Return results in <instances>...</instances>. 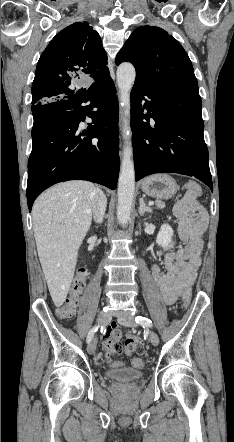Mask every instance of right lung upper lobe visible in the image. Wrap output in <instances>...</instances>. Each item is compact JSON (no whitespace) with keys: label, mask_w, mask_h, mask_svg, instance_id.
<instances>
[{"label":"right lung upper lobe","mask_w":234,"mask_h":442,"mask_svg":"<svg viewBox=\"0 0 234 442\" xmlns=\"http://www.w3.org/2000/svg\"><path fill=\"white\" fill-rule=\"evenodd\" d=\"M107 54L99 34L87 22L60 31L43 51L32 84V106L68 100L88 89L81 81L109 77Z\"/></svg>","instance_id":"1"}]
</instances>
